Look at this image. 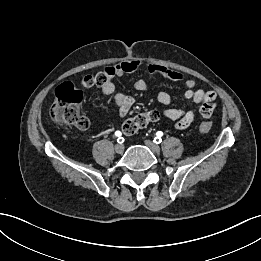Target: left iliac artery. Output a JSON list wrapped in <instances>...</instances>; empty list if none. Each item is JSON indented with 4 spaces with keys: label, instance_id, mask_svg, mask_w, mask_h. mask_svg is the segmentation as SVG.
Segmentation results:
<instances>
[{
    "label": "left iliac artery",
    "instance_id": "44dca946",
    "mask_svg": "<svg viewBox=\"0 0 261 261\" xmlns=\"http://www.w3.org/2000/svg\"><path fill=\"white\" fill-rule=\"evenodd\" d=\"M163 135V133L161 132V131H158L157 133H156V137L154 138V142L156 143V144H159V143H161L162 142V139H161V136Z\"/></svg>",
    "mask_w": 261,
    "mask_h": 261
}]
</instances>
